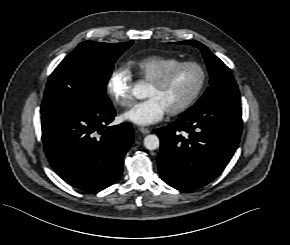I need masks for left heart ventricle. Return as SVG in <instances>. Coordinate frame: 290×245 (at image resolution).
<instances>
[{
    "instance_id": "1",
    "label": "left heart ventricle",
    "mask_w": 290,
    "mask_h": 245,
    "mask_svg": "<svg viewBox=\"0 0 290 245\" xmlns=\"http://www.w3.org/2000/svg\"><path fill=\"white\" fill-rule=\"evenodd\" d=\"M200 81L201 73L197 68H180L162 86L149 83L145 97H155L169 111L185 102L197 89Z\"/></svg>"
}]
</instances>
